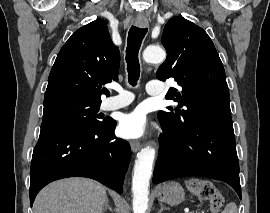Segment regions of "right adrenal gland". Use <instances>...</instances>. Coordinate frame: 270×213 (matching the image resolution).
I'll use <instances>...</instances> for the list:
<instances>
[{"label": "right adrenal gland", "instance_id": "obj_1", "mask_svg": "<svg viewBox=\"0 0 270 213\" xmlns=\"http://www.w3.org/2000/svg\"><path fill=\"white\" fill-rule=\"evenodd\" d=\"M107 210H109L111 213H113V210H112L111 206L109 205L108 200L106 201V204H105V206L103 208V213L106 212Z\"/></svg>", "mask_w": 270, "mask_h": 213}]
</instances>
